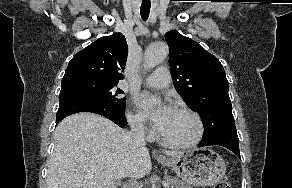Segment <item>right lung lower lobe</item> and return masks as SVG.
I'll return each mask as SVG.
<instances>
[{
    "instance_id": "98d812e1",
    "label": "right lung lower lobe",
    "mask_w": 292,
    "mask_h": 188,
    "mask_svg": "<svg viewBox=\"0 0 292 188\" xmlns=\"http://www.w3.org/2000/svg\"><path fill=\"white\" fill-rule=\"evenodd\" d=\"M78 112H91L102 115L120 127H125L127 125L125 111L117 112L108 110L91 101L76 97L59 99V109L56 115V125L65 117Z\"/></svg>"
}]
</instances>
